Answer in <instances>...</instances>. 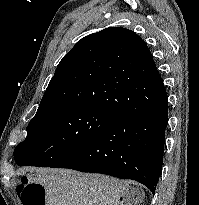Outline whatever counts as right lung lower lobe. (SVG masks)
<instances>
[{
    "label": "right lung lower lobe",
    "mask_w": 199,
    "mask_h": 205,
    "mask_svg": "<svg viewBox=\"0 0 199 205\" xmlns=\"http://www.w3.org/2000/svg\"><path fill=\"white\" fill-rule=\"evenodd\" d=\"M134 87L145 94L89 143L52 168L132 179L155 192L163 164L168 97L161 76Z\"/></svg>",
    "instance_id": "1"
}]
</instances>
